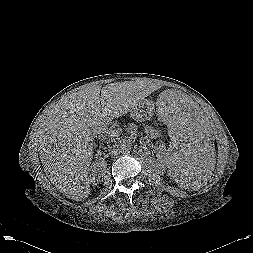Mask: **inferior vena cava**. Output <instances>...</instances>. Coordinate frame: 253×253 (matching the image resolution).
Instances as JSON below:
<instances>
[{
  "label": "inferior vena cava",
  "instance_id": "602c4592",
  "mask_svg": "<svg viewBox=\"0 0 253 253\" xmlns=\"http://www.w3.org/2000/svg\"><path fill=\"white\" fill-rule=\"evenodd\" d=\"M101 127H103V126H101ZM101 127H96V128H94V131H97V130L100 129ZM119 153H120V152H119V149H118V143L110 147V149H109V154H110L111 156H116V155H118Z\"/></svg>",
  "mask_w": 253,
  "mask_h": 253
}]
</instances>
